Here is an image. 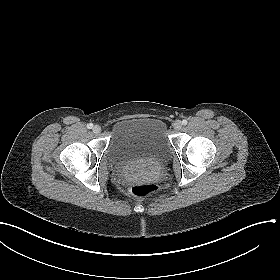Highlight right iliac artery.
I'll use <instances>...</instances> for the list:
<instances>
[{
  "label": "right iliac artery",
  "mask_w": 280,
  "mask_h": 280,
  "mask_svg": "<svg viewBox=\"0 0 280 280\" xmlns=\"http://www.w3.org/2000/svg\"><path fill=\"white\" fill-rule=\"evenodd\" d=\"M92 127H93V124H92V123L87 124V128H88V129H91Z\"/></svg>",
  "instance_id": "obj_1"
}]
</instances>
